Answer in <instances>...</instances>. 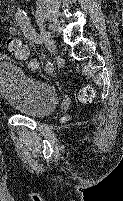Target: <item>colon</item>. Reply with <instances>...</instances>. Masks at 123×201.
<instances>
[{"mask_svg": "<svg viewBox=\"0 0 123 201\" xmlns=\"http://www.w3.org/2000/svg\"><path fill=\"white\" fill-rule=\"evenodd\" d=\"M6 46L17 59H28V49L24 45H22L20 40H18L17 38H9L6 42ZM31 65L34 67L35 63L32 62ZM94 98L95 92L94 89L90 86L83 87L79 92V100L83 103H90L94 100Z\"/></svg>", "mask_w": 123, "mask_h": 201, "instance_id": "colon-1", "label": "colon"}]
</instances>
